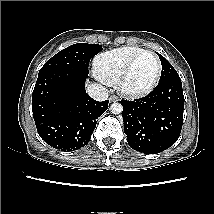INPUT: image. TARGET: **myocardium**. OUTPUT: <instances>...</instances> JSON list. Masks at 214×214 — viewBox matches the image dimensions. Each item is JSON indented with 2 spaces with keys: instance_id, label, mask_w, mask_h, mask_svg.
I'll return each mask as SVG.
<instances>
[{
  "instance_id": "1",
  "label": "myocardium",
  "mask_w": 214,
  "mask_h": 214,
  "mask_svg": "<svg viewBox=\"0 0 214 214\" xmlns=\"http://www.w3.org/2000/svg\"><path fill=\"white\" fill-rule=\"evenodd\" d=\"M147 54L152 55L156 60L157 71H156L155 78L147 87H145L143 89H138V90L130 89L127 86V80L131 74V71H132L133 67L135 66V64L137 63V61L141 57H143L144 55H147ZM161 74H162V63H161V60L158 57V55L153 51L144 50L141 53L137 54L135 57H133L129 61V63L126 65L124 70L122 71V73L117 81L118 90L122 95L127 96V97H131V98L143 97V96L151 93L155 89V87L159 83Z\"/></svg>"
}]
</instances>
